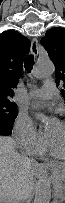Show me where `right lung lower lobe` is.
Masks as SVG:
<instances>
[{"mask_svg": "<svg viewBox=\"0 0 65 203\" xmlns=\"http://www.w3.org/2000/svg\"><path fill=\"white\" fill-rule=\"evenodd\" d=\"M1 134H3V135H10L11 132L9 133V132H7L5 129L0 128V135H1Z\"/></svg>", "mask_w": 65, "mask_h": 203, "instance_id": "obj_1", "label": "right lung lower lobe"}]
</instances>
